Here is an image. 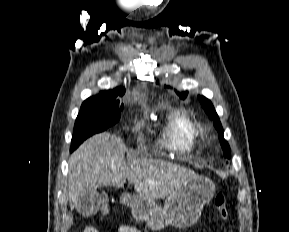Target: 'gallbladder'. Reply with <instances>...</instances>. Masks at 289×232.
Instances as JSON below:
<instances>
[{
  "label": "gallbladder",
  "mask_w": 289,
  "mask_h": 232,
  "mask_svg": "<svg viewBox=\"0 0 289 232\" xmlns=\"http://www.w3.org/2000/svg\"><path fill=\"white\" fill-rule=\"evenodd\" d=\"M101 203L102 198L97 191L89 192L79 197L76 209L83 216H92L97 213Z\"/></svg>",
  "instance_id": "bac80fb5"
}]
</instances>
